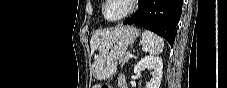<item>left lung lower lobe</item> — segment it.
Masks as SVG:
<instances>
[{
  "label": "left lung lower lobe",
  "mask_w": 227,
  "mask_h": 88,
  "mask_svg": "<svg viewBox=\"0 0 227 88\" xmlns=\"http://www.w3.org/2000/svg\"><path fill=\"white\" fill-rule=\"evenodd\" d=\"M137 12L123 24H134L164 37L172 46L183 0H139Z\"/></svg>",
  "instance_id": "left-lung-lower-lobe-1"
}]
</instances>
